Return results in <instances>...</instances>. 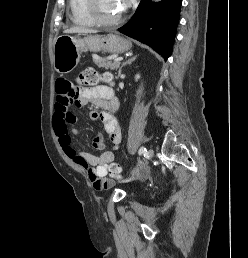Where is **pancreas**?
<instances>
[{
  "label": "pancreas",
  "mask_w": 248,
  "mask_h": 258,
  "mask_svg": "<svg viewBox=\"0 0 248 258\" xmlns=\"http://www.w3.org/2000/svg\"><path fill=\"white\" fill-rule=\"evenodd\" d=\"M92 58H93V62L98 67H101V68H105V69L110 68L111 70H116L120 65L119 61L106 60V59L100 58L96 55H92Z\"/></svg>",
  "instance_id": "1"
}]
</instances>
